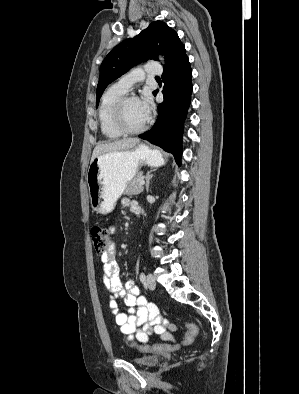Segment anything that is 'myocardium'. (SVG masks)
Here are the masks:
<instances>
[{
    "instance_id": "f54148a6",
    "label": "myocardium",
    "mask_w": 299,
    "mask_h": 394,
    "mask_svg": "<svg viewBox=\"0 0 299 394\" xmlns=\"http://www.w3.org/2000/svg\"><path fill=\"white\" fill-rule=\"evenodd\" d=\"M130 99H137V97L133 94L126 93L122 95L115 103L113 112H112V119L115 127L121 131L123 134H137L143 131L149 124L150 119L147 117L146 121L135 128L129 127L124 120V106L126 102Z\"/></svg>"
}]
</instances>
